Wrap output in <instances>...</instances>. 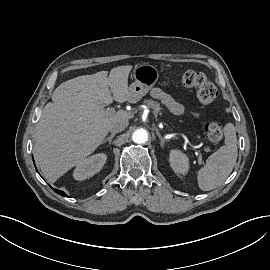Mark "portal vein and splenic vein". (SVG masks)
I'll return each mask as SVG.
<instances>
[{"mask_svg":"<svg viewBox=\"0 0 270 270\" xmlns=\"http://www.w3.org/2000/svg\"><path fill=\"white\" fill-rule=\"evenodd\" d=\"M110 111H114V109H109ZM193 148H197L196 146H193ZM199 159H201V156L199 155Z\"/></svg>","mask_w":270,"mask_h":270,"instance_id":"portal-vein-and-splenic-vein-1","label":"portal vein and splenic vein"}]
</instances>
